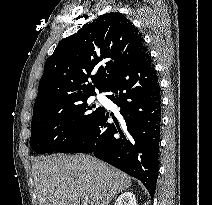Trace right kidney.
<instances>
[{"mask_svg": "<svg viewBox=\"0 0 212 205\" xmlns=\"http://www.w3.org/2000/svg\"><path fill=\"white\" fill-rule=\"evenodd\" d=\"M114 205H137V201L133 193L124 192L119 196Z\"/></svg>", "mask_w": 212, "mask_h": 205, "instance_id": "right-kidney-1", "label": "right kidney"}]
</instances>
